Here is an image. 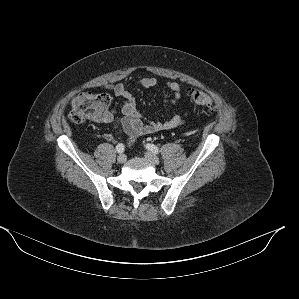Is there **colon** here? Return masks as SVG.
Here are the masks:
<instances>
[{
	"label": "colon",
	"instance_id": "colon-1",
	"mask_svg": "<svg viewBox=\"0 0 299 299\" xmlns=\"http://www.w3.org/2000/svg\"><path fill=\"white\" fill-rule=\"evenodd\" d=\"M192 100L207 113L214 112L212 98L204 91L192 90ZM110 97L106 94L80 93L71 101L70 118L75 123L99 119L107 110Z\"/></svg>",
	"mask_w": 299,
	"mask_h": 299
}]
</instances>
